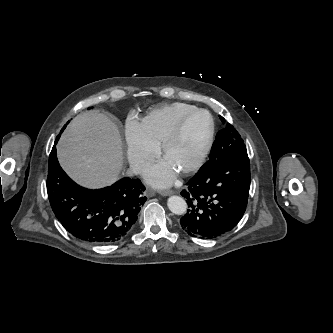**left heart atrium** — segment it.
Segmentation results:
<instances>
[{
  "label": "left heart atrium",
  "instance_id": "left-heart-atrium-1",
  "mask_svg": "<svg viewBox=\"0 0 333 333\" xmlns=\"http://www.w3.org/2000/svg\"><path fill=\"white\" fill-rule=\"evenodd\" d=\"M176 170L169 162L162 161L146 172L147 181L155 187H166L172 184Z\"/></svg>",
  "mask_w": 333,
  "mask_h": 333
}]
</instances>
